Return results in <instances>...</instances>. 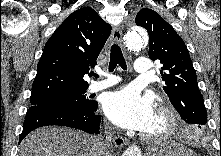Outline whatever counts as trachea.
I'll return each instance as SVG.
<instances>
[{
  "mask_svg": "<svg viewBox=\"0 0 221 156\" xmlns=\"http://www.w3.org/2000/svg\"><path fill=\"white\" fill-rule=\"evenodd\" d=\"M117 65H119L124 70L127 69L126 61L122 54L121 48L117 44H113L111 46L109 71L112 72L117 67ZM90 75L95 76L96 78L99 77V75L95 74L94 72H91Z\"/></svg>",
  "mask_w": 221,
  "mask_h": 156,
  "instance_id": "1",
  "label": "trachea"
}]
</instances>
